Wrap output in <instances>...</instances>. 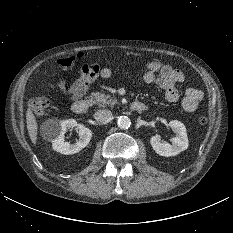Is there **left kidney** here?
<instances>
[{"label": "left kidney", "mask_w": 233, "mask_h": 233, "mask_svg": "<svg viewBox=\"0 0 233 233\" xmlns=\"http://www.w3.org/2000/svg\"><path fill=\"white\" fill-rule=\"evenodd\" d=\"M169 126L176 134L171 139L172 144L162 142L157 136H152L150 139L154 151L164 157L175 156L186 150L189 146L185 125L180 121L172 120L169 122Z\"/></svg>", "instance_id": "left-kidney-1"}]
</instances>
